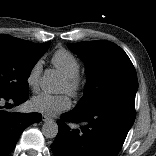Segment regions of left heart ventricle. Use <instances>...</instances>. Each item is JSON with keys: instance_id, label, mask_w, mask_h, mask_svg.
<instances>
[{"instance_id": "b2bd125f", "label": "left heart ventricle", "mask_w": 156, "mask_h": 156, "mask_svg": "<svg viewBox=\"0 0 156 156\" xmlns=\"http://www.w3.org/2000/svg\"><path fill=\"white\" fill-rule=\"evenodd\" d=\"M60 91H62V92H66L67 91V84H66V82L64 80L61 83Z\"/></svg>"}]
</instances>
